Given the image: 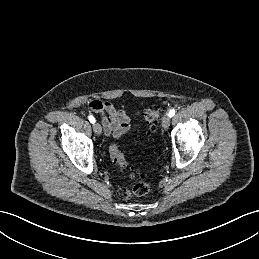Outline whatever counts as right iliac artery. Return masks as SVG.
Returning <instances> with one entry per match:
<instances>
[{
	"instance_id": "right-iliac-artery-1",
	"label": "right iliac artery",
	"mask_w": 259,
	"mask_h": 259,
	"mask_svg": "<svg viewBox=\"0 0 259 259\" xmlns=\"http://www.w3.org/2000/svg\"><path fill=\"white\" fill-rule=\"evenodd\" d=\"M88 119H89V121H90L92 124L95 123V118H94L92 115H89V116H88Z\"/></svg>"
}]
</instances>
